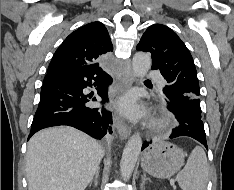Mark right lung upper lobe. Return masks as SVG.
Segmentation results:
<instances>
[{"mask_svg": "<svg viewBox=\"0 0 234 190\" xmlns=\"http://www.w3.org/2000/svg\"><path fill=\"white\" fill-rule=\"evenodd\" d=\"M112 50L113 46L106 27L101 22L86 24L71 33L59 46L50 62L47 75L73 67L95 64Z\"/></svg>", "mask_w": 234, "mask_h": 190, "instance_id": "right-lung-upper-lobe-1", "label": "right lung upper lobe"}]
</instances>
